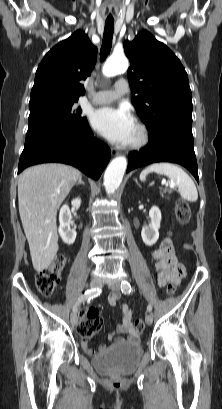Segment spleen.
Here are the masks:
<instances>
[{
  "label": "spleen",
  "mask_w": 222,
  "mask_h": 409,
  "mask_svg": "<svg viewBox=\"0 0 222 409\" xmlns=\"http://www.w3.org/2000/svg\"><path fill=\"white\" fill-rule=\"evenodd\" d=\"M152 172L166 175L171 182L177 185L182 199L189 202H195L198 199V192L193 180L181 167L167 162L154 163L141 172L140 180L145 181L146 176Z\"/></svg>",
  "instance_id": "spleen-1"
}]
</instances>
